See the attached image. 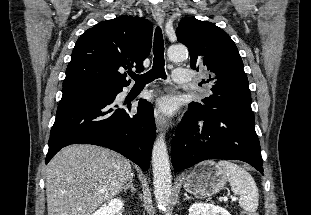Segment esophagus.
<instances>
[{"mask_svg": "<svg viewBox=\"0 0 311 215\" xmlns=\"http://www.w3.org/2000/svg\"><path fill=\"white\" fill-rule=\"evenodd\" d=\"M153 17L159 23L160 25L164 22V12L161 8L155 7L153 9ZM155 122L157 129L160 130H166L169 128V123L167 119L159 114L158 112H155Z\"/></svg>", "mask_w": 311, "mask_h": 215, "instance_id": "34e87169", "label": "esophagus"}]
</instances>
